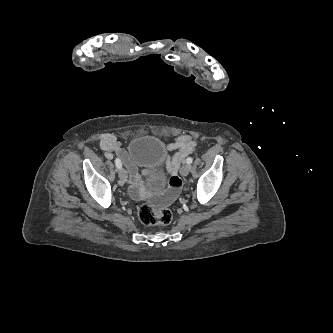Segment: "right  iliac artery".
<instances>
[{"label": "right iliac artery", "instance_id": "right-iliac-artery-1", "mask_svg": "<svg viewBox=\"0 0 333 333\" xmlns=\"http://www.w3.org/2000/svg\"><path fill=\"white\" fill-rule=\"evenodd\" d=\"M115 164H116V167L118 169H120L122 167V162H121V160L119 158L115 159Z\"/></svg>", "mask_w": 333, "mask_h": 333}]
</instances>
